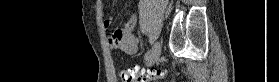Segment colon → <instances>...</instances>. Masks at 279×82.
Returning <instances> with one entry per match:
<instances>
[{"instance_id": "5ec220e1", "label": "colon", "mask_w": 279, "mask_h": 82, "mask_svg": "<svg viewBox=\"0 0 279 82\" xmlns=\"http://www.w3.org/2000/svg\"><path fill=\"white\" fill-rule=\"evenodd\" d=\"M163 75V71H136L134 68H123L120 71L122 82H151Z\"/></svg>"}]
</instances>
